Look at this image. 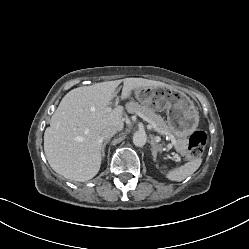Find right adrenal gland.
Returning a JSON list of instances; mask_svg holds the SVG:
<instances>
[{"label":"right adrenal gland","instance_id":"1","mask_svg":"<svg viewBox=\"0 0 249 249\" xmlns=\"http://www.w3.org/2000/svg\"><path fill=\"white\" fill-rule=\"evenodd\" d=\"M110 140H106L103 144H102V157L105 156V147L106 145L109 143Z\"/></svg>","mask_w":249,"mask_h":249}]
</instances>
